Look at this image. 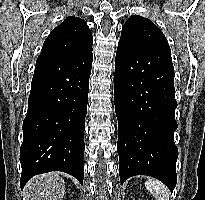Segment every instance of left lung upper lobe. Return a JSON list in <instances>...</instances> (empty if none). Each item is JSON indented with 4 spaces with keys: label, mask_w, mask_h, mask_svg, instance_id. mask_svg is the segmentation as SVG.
Wrapping results in <instances>:
<instances>
[{
    "label": "left lung upper lobe",
    "mask_w": 205,
    "mask_h": 200,
    "mask_svg": "<svg viewBox=\"0 0 205 200\" xmlns=\"http://www.w3.org/2000/svg\"><path fill=\"white\" fill-rule=\"evenodd\" d=\"M119 44L132 47L168 45L162 31L149 19L131 16L123 26Z\"/></svg>",
    "instance_id": "5c2ea615"
}]
</instances>
